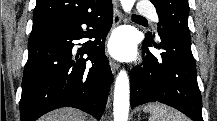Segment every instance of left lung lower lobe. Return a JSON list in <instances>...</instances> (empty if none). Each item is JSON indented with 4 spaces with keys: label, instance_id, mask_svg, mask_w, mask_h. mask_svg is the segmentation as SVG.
Returning <instances> with one entry per match:
<instances>
[{
    "label": "left lung lower lobe",
    "instance_id": "0a47b994",
    "mask_svg": "<svg viewBox=\"0 0 217 121\" xmlns=\"http://www.w3.org/2000/svg\"><path fill=\"white\" fill-rule=\"evenodd\" d=\"M191 41L173 30L163 28L159 42L146 36L142 67L130 75L131 108L148 102H161L176 108L194 121L202 119V100L196 78ZM163 50L154 56L148 47Z\"/></svg>",
    "mask_w": 217,
    "mask_h": 121
}]
</instances>
